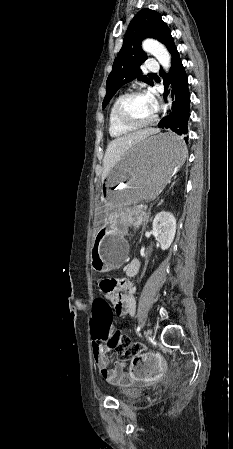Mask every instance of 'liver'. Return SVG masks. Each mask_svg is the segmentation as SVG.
Returning <instances> with one entry per match:
<instances>
[{"label": "liver", "instance_id": "1", "mask_svg": "<svg viewBox=\"0 0 233 449\" xmlns=\"http://www.w3.org/2000/svg\"><path fill=\"white\" fill-rule=\"evenodd\" d=\"M157 132L158 129L155 128L143 129L134 133H124L123 137L111 141L107 146L103 160L102 180L107 177L112 167L122 160L123 156L133 145Z\"/></svg>", "mask_w": 233, "mask_h": 449}]
</instances>
